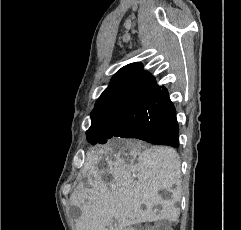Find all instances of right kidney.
Wrapping results in <instances>:
<instances>
[{"label": "right kidney", "mask_w": 241, "mask_h": 230, "mask_svg": "<svg viewBox=\"0 0 241 230\" xmlns=\"http://www.w3.org/2000/svg\"><path fill=\"white\" fill-rule=\"evenodd\" d=\"M123 230H133V228H125V229H123Z\"/></svg>", "instance_id": "obj_1"}]
</instances>
